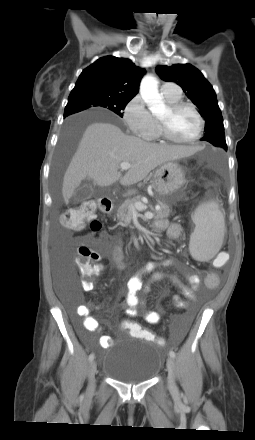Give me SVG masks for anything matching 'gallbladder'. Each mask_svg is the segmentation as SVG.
Listing matches in <instances>:
<instances>
[{
  "label": "gallbladder",
  "instance_id": "obj_1",
  "mask_svg": "<svg viewBox=\"0 0 255 440\" xmlns=\"http://www.w3.org/2000/svg\"><path fill=\"white\" fill-rule=\"evenodd\" d=\"M92 195H93V185L90 183H84L74 192L71 200L73 202H82L91 198Z\"/></svg>",
  "mask_w": 255,
  "mask_h": 440
}]
</instances>
